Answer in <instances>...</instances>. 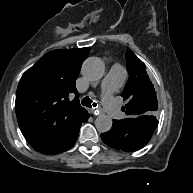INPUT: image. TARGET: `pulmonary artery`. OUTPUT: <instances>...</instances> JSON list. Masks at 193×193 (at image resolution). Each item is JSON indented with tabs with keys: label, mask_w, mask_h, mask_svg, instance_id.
<instances>
[{
	"label": "pulmonary artery",
	"mask_w": 193,
	"mask_h": 193,
	"mask_svg": "<svg viewBox=\"0 0 193 193\" xmlns=\"http://www.w3.org/2000/svg\"><path fill=\"white\" fill-rule=\"evenodd\" d=\"M124 76V67L114 64L110 67L101 85L104 93L102 103L106 106L109 116L116 120L121 117L122 113L117 107V102L113 98V95L120 89Z\"/></svg>",
	"instance_id": "1"
}]
</instances>
